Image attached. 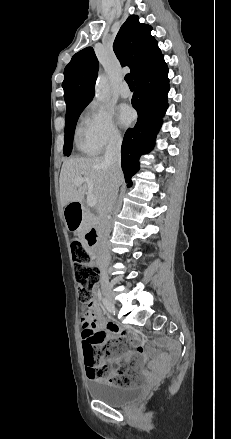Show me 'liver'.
Instances as JSON below:
<instances>
[{
    "label": "liver",
    "mask_w": 231,
    "mask_h": 439,
    "mask_svg": "<svg viewBox=\"0 0 231 439\" xmlns=\"http://www.w3.org/2000/svg\"><path fill=\"white\" fill-rule=\"evenodd\" d=\"M84 176L93 185V194L102 209L103 200L110 184V171L103 157H81L65 161L60 173V199L63 206L81 202L88 185L74 184V180ZM123 178L120 180V184Z\"/></svg>",
    "instance_id": "6515ba94"
}]
</instances>
